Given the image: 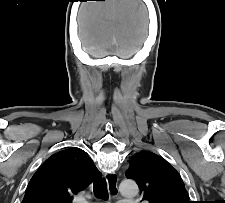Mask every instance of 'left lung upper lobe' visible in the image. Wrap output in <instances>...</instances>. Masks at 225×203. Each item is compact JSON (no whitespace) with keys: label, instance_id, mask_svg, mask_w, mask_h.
<instances>
[{"label":"left lung upper lobe","instance_id":"5c2ea615","mask_svg":"<svg viewBox=\"0 0 225 203\" xmlns=\"http://www.w3.org/2000/svg\"><path fill=\"white\" fill-rule=\"evenodd\" d=\"M129 162L126 176L137 182L143 200L149 203H192L179 173L162 157L141 151Z\"/></svg>","mask_w":225,"mask_h":203}]
</instances>
